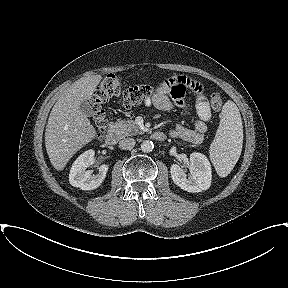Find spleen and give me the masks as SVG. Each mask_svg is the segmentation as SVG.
Segmentation results:
<instances>
[{
  "instance_id": "obj_1",
  "label": "spleen",
  "mask_w": 288,
  "mask_h": 288,
  "mask_svg": "<svg viewBox=\"0 0 288 288\" xmlns=\"http://www.w3.org/2000/svg\"><path fill=\"white\" fill-rule=\"evenodd\" d=\"M219 128L213 140L209 155L217 174L226 177L237 163L243 144V126L238 107L227 101L221 111Z\"/></svg>"
}]
</instances>
